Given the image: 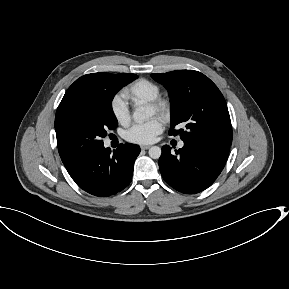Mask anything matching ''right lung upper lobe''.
<instances>
[{"label":"right lung upper lobe","instance_id":"1","mask_svg":"<svg viewBox=\"0 0 289 289\" xmlns=\"http://www.w3.org/2000/svg\"><path fill=\"white\" fill-rule=\"evenodd\" d=\"M111 75L112 74L109 73H92L77 79L66 91L58 106L57 112L86 102L90 93L106 82Z\"/></svg>","mask_w":289,"mask_h":289}]
</instances>
